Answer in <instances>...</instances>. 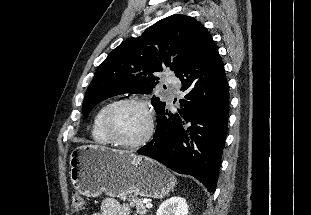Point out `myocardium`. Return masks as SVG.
Returning a JSON list of instances; mask_svg holds the SVG:
<instances>
[{
    "label": "myocardium",
    "instance_id": "1",
    "mask_svg": "<svg viewBox=\"0 0 311 215\" xmlns=\"http://www.w3.org/2000/svg\"><path fill=\"white\" fill-rule=\"evenodd\" d=\"M126 105H137L142 107L148 116V128L145 133V135L135 141V142H127L122 140L115 132L113 128V118L116 112L123 106ZM102 127L105 132V134L108 136V138L112 141V143L119 145L124 148H129V149H136L139 147H142L145 145L152 137L153 132H154V116L152 109L150 108L149 104L141 98L133 97V98H125L118 100L114 103H112L108 109L106 110L104 116H103V121H102Z\"/></svg>",
    "mask_w": 311,
    "mask_h": 215
}]
</instances>
